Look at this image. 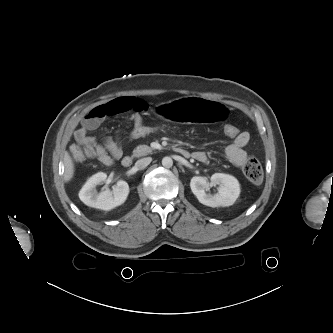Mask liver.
<instances>
[{"mask_svg":"<svg viewBox=\"0 0 333 333\" xmlns=\"http://www.w3.org/2000/svg\"><path fill=\"white\" fill-rule=\"evenodd\" d=\"M63 160L65 166L64 180L68 182L74 176L75 172L74 163L68 152H65Z\"/></svg>","mask_w":333,"mask_h":333,"instance_id":"1","label":"liver"}]
</instances>
